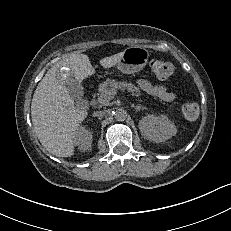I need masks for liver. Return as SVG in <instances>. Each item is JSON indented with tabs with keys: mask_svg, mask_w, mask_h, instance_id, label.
Listing matches in <instances>:
<instances>
[{
	"mask_svg": "<svg viewBox=\"0 0 231 231\" xmlns=\"http://www.w3.org/2000/svg\"><path fill=\"white\" fill-rule=\"evenodd\" d=\"M123 52L100 60L103 68L115 66ZM68 68L81 82L93 75L95 69L85 54H73L54 64L39 82L31 103L34 131L42 146L57 157L74 154L75 134L88 112L74 106L67 87L57 79V72Z\"/></svg>",
	"mask_w": 231,
	"mask_h": 231,
	"instance_id": "obj_1",
	"label": "liver"
}]
</instances>
